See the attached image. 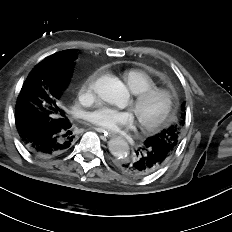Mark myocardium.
I'll return each instance as SVG.
<instances>
[{
  "label": "myocardium",
  "mask_w": 232,
  "mask_h": 232,
  "mask_svg": "<svg viewBox=\"0 0 232 232\" xmlns=\"http://www.w3.org/2000/svg\"><path fill=\"white\" fill-rule=\"evenodd\" d=\"M154 96H161L164 98V106L161 113L153 118L152 120H143L141 118H137L139 127L145 132H152L159 128L160 126L164 125L171 115L174 102H175V94L164 87H151L144 91H141L135 94L132 102H131V109L136 112V110L144 104L147 100Z\"/></svg>",
  "instance_id": "myocardium-1"
}]
</instances>
